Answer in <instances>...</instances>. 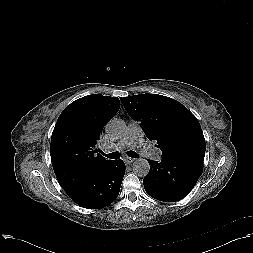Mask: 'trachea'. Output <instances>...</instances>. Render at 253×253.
Returning <instances> with one entry per match:
<instances>
[{
	"mask_svg": "<svg viewBox=\"0 0 253 253\" xmlns=\"http://www.w3.org/2000/svg\"><path fill=\"white\" fill-rule=\"evenodd\" d=\"M101 154L109 159H119L120 158V153L119 152H113V153H109V154H105L103 152H101ZM127 155L129 157H132V158H138L139 155L134 152V151H128L127 152Z\"/></svg>",
	"mask_w": 253,
	"mask_h": 253,
	"instance_id": "1",
	"label": "trachea"
}]
</instances>
